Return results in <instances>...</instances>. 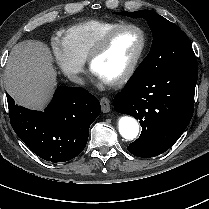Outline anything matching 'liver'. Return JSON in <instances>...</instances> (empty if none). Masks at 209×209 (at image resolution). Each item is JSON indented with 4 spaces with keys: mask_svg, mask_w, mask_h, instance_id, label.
<instances>
[{
    "mask_svg": "<svg viewBox=\"0 0 209 209\" xmlns=\"http://www.w3.org/2000/svg\"><path fill=\"white\" fill-rule=\"evenodd\" d=\"M56 84L52 55L45 44L27 40L12 48L5 69V88L16 103L42 109Z\"/></svg>",
    "mask_w": 209,
    "mask_h": 209,
    "instance_id": "1",
    "label": "liver"
}]
</instances>
